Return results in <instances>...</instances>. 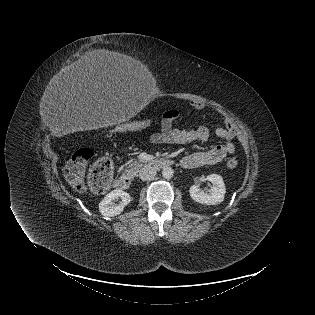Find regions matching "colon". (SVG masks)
Returning a JSON list of instances; mask_svg holds the SVG:
<instances>
[{
    "instance_id": "5ec220e1",
    "label": "colon",
    "mask_w": 315,
    "mask_h": 315,
    "mask_svg": "<svg viewBox=\"0 0 315 315\" xmlns=\"http://www.w3.org/2000/svg\"><path fill=\"white\" fill-rule=\"evenodd\" d=\"M149 121L138 123H127L118 128L119 133L131 132L139 127L145 126ZM93 157V151L89 148H80L76 150L67 162L64 175L67 182L76 191H84L88 186L91 190L101 193L107 189L112 179V164L110 160L101 158L97 160L88 175V181H85V170L89 160ZM227 166L234 169L238 166V161L231 158Z\"/></svg>"
}]
</instances>
